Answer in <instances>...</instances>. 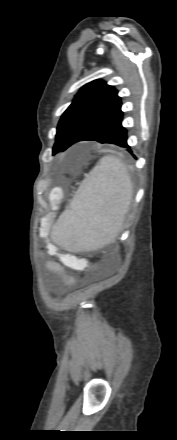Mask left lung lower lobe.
I'll return each mask as SVG.
<instances>
[{"label": "left lung lower lobe", "mask_w": 177, "mask_h": 440, "mask_svg": "<svg viewBox=\"0 0 177 440\" xmlns=\"http://www.w3.org/2000/svg\"><path fill=\"white\" fill-rule=\"evenodd\" d=\"M123 113L120 111L116 116L111 118L105 124L95 128L80 141H97L99 143H110L120 147L128 148L127 151L132 153L130 146L127 144V130L122 126Z\"/></svg>", "instance_id": "1"}]
</instances>
